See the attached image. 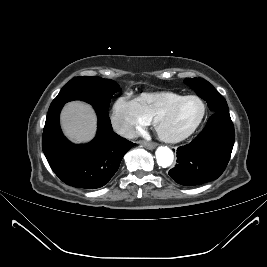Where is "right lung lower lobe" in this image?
Wrapping results in <instances>:
<instances>
[{"label": "right lung lower lobe", "instance_id": "right-lung-lower-lobe-1", "mask_svg": "<svg viewBox=\"0 0 267 267\" xmlns=\"http://www.w3.org/2000/svg\"><path fill=\"white\" fill-rule=\"evenodd\" d=\"M62 107L48 110L42 138L47 161L67 185L84 189L102 187L113 177L123 156L135 144L114 133L107 112L96 107L98 130L95 139L84 145L70 143L59 125Z\"/></svg>", "mask_w": 267, "mask_h": 267}]
</instances>
